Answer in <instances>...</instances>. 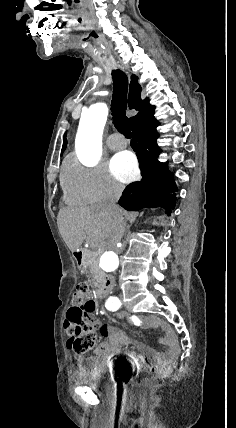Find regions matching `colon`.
Wrapping results in <instances>:
<instances>
[{
  "label": "colon",
  "instance_id": "obj_1",
  "mask_svg": "<svg viewBox=\"0 0 236 428\" xmlns=\"http://www.w3.org/2000/svg\"><path fill=\"white\" fill-rule=\"evenodd\" d=\"M95 303L89 298V288L85 283H79L73 294V305L69 308L64 322L68 347L76 353H86L93 349L96 341L92 328L90 313ZM144 389H151L153 378H145L141 382Z\"/></svg>",
  "mask_w": 236,
  "mask_h": 428
}]
</instances>
